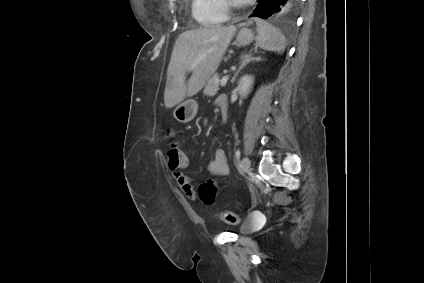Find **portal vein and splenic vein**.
Returning a JSON list of instances; mask_svg holds the SVG:
<instances>
[{
	"label": "portal vein and splenic vein",
	"instance_id": "obj_1",
	"mask_svg": "<svg viewBox=\"0 0 424 283\" xmlns=\"http://www.w3.org/2000/svg\"><path fill=\"white\" fill-rule=\"evenodd\" d=\"M228 80H229V76H224V77H222V79L219 82L222 86H224V85H226Z\"/></svg>",
	"mask_w": 424,
	"mask_h": 283
}]
</instances>
